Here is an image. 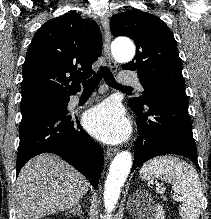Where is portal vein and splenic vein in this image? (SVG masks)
<instances>
[{
  "instance_id": "1",
  "label": "portal vein and splenic vein",
  "mask_w": 211,
  "mask_h": 219,
  "mask_svg": "<svg viewBox=\"0 0 211 219\" xmlns=\"http://www.w3.org/2000/svg\"><path fill=\"white\" fill-rule=\"evenodd\" d=\"M165 191V188H160L157 190L158 193H163ZM174 199L178 198L176 195L173 196Z\"/></svg>"
}]
</instances>
